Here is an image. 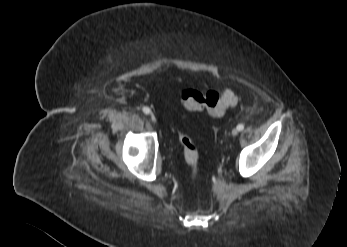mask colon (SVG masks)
<instances>
[{"label": "colon", "mask_w": 347, "mask_h": 247, "mask_svg": "<svg viewBox=\"0 0 347 247\" xmlns=\"http://www.w3.org/2000/svg\"><path fill=\"white\" fill-rule=\"evenodd\" d=\"M181 99L187 109L192 111L205 109L214 117L222 116L237 101L236 95L229 89L222 92L186 89L182 92ZM178 140L182 147L184 160L191 168L194 177L197 174L199 150L191 137L183 131L178 133Z\"/></svg>", "instance_id": "5ec220e1"}]
</instances>
